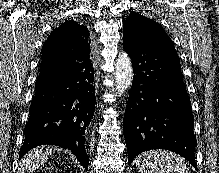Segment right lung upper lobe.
Listing matches in <instances>:
<instances>
[{"instance_id":"1","label":"right lung upper lobe","mask_w":219,"mask_h":173,"mask_svg":"<svg viewBox=\"0 0 219 173\" xmlns=\"http://www.w3.org/2000/svg\"><path fill=\"white\" fill-rule=\"evenodd\" d=\"M89 31L85 26L70 20L55 29L42 47V61L66 63L71 56L84 55L90 58Z\"/></svg>"}]
</instances>
